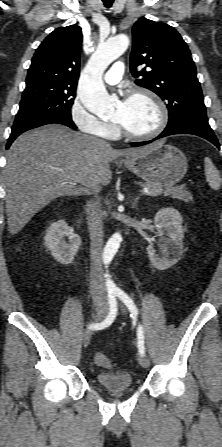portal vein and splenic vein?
Returning a JSON list of instances; mask_svg holds the SVG:
<instances>
[{
    "label": "portal vein and splenic vein",
    "instance_id": "obj_1",
    "mask_svg": "<svg viewBox=\"0 0 222 447\" xmlns=\"http://www.w3.org/2000/svg\"><path fill=\"white\" fill-rule=\"evenodd\" d=\"M142 192H144V193H149L150 190H149V188L145 187V188H143Z\"/></svg>",
    "mask_w": 222,
    "mask_h": 447
}]
</instances>
